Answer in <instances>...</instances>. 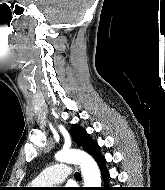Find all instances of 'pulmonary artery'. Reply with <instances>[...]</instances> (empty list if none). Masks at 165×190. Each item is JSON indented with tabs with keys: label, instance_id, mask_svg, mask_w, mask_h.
Returning a JSON list of instances; mask_svg holds the SVG:
<instances>
[{
	"label": "pulmonary artery",
	"instance_id": "obj_1",
	"mask_svg": "<svg viewBox=\"0 0 165 190\" xmlns=\"http://www.w3.org/2000/svg\"><path fill=\"white\" fill-rule=\"evenodd\" d=\"M73 174L72 168L67 163H57L39 173L33 183L35 185H53L63 182Z\"/></svg>",
	"mask_w": 165,
	"mask_h": 190
}]
</instances>
